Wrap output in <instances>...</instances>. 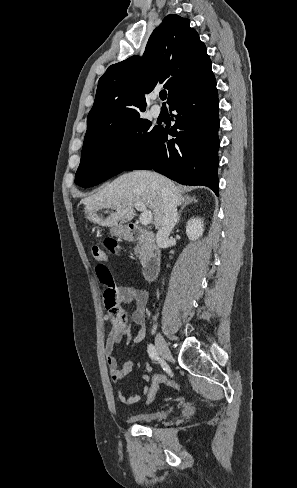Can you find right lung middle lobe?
<instances>
[{
  "instance_id": "1",
  "label": "right lung middle lobe",
  "mask_w": 297,
  "mask_h": 488,
  "mask_svg": "<svg viewBox=\"0 0 297 488\" xmlns=\"http://www.w3.org/2000/svg\"><path fill=\"white\" fill-rule=\"evenodd\" d=\"M138 118L99 136L86 137L75 183L88 188L126 170L148 147L159 129Z\"/></svg>"
}]
</instances>
